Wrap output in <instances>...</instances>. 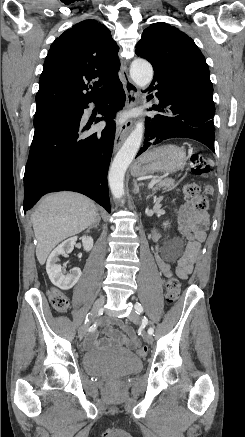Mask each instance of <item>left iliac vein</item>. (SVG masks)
<instances>
[{"instance_id":"1","label":"left iliac vein","mask_w":245,"mask_h":437,"mask_svg":"<svg viewBox=\"0 0 245 437\" xmlns=\"http://www.w3.org/2000/svg\"><path fill=\"white\" fill-rule=\"evenodd\" d=\"M129 319L130 321H132L133 323H138L139 322V316L138 313L135 310H132V312L129 315ZM143 339L148 343L151 344L153 342V337L151 334H149L148 332H144L143 333Z\"/></svg>"}]
</instances>
